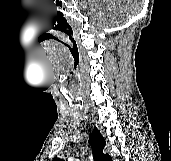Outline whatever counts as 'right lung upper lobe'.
Listing matches in <instances>:
<instances>
[{
    "label": "right lung upper lobe",
    "instance_id": "cb5924a9",
    "mask_svg": "<svg viewBox=\"0 0 171 161\" xmlns=\"http://www.w3.org/2000/svg\"><path fill=\"white\" fill-rule=\"evenodd\" d=\"M89 143L91 144L95 161H111V156L109 154L103 153V149L106 145V142L100 131L96 127L93 129L92 134L89 137ZM53 161L63 160L55 158Z\"/></svg>",
    "mask_w": 171,
    "mask_h": 161
}]
</instances>
